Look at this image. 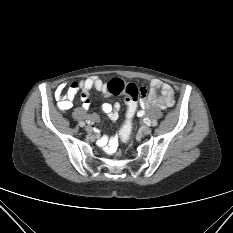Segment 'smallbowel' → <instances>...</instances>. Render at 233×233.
I'll return each instance as SVG.
<instances>
[{
  "label": "small bowel",
  "mask_w": 233,
  "mask_h": 233,
  "mask_svg": "<svg viewBox=\"0 0 233 233\" xmlns=\"http://www.w3.org/2000/svg\"><path fill=\"white\" fill-rule=\"evenodd\" d=\"M66 87L65 83L57 86L55 90V98L57 106L62 112H66L73 106L75 96L81 92L80 97L83 102L82 107L84 110L90 108L91 102L89 92L93 89L102 93L103 95H110L108 84L97 76H92L81 81L72 82L69 85L66 93H63ZM174 103V89L173 87L159 79H152L150 81V89L146 98L142 99L139 103V109L136 114L138 117L145 115V109L150 106H157L161 108L172 106ZM120 104L104 103L100 106V113L105 114L111 121H116L119 116ZM91 122L98 120V114H92L89 117ZM117 149V139L112 138L105 146L107 153H113Z\"/></svg>",
  "instance_id": "c3829d8e"
}]
</instances>
